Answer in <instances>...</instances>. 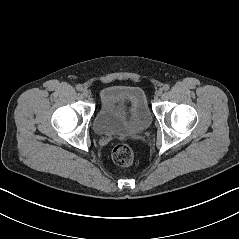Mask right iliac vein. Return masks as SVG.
<instances>
[{
  "label": "right iliac vein",
  "mask_w": 239,
  "mask_h": 239,
  "mask_svg": "<svg viewBox=\"0 0 239 239\" xmlns=\"http://www.w3.org/2000/svg\"><path fill=\"white\" fill-rule=\"evenodd\" d=\"M82 94H83L85 97H89V96H90V93H89V91H88L86 88H84V89L82 90Z\"/></svg>",
  "instance_id": "63e3f726"
}]
</instances>
